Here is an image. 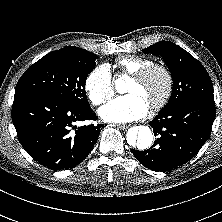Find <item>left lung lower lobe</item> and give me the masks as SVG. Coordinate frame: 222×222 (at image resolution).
<instances>
[{"instance_id": "left-lung-lower-lobe-1", "label": "left lung lower lobe", "mask_w": 222, "mask_h": 222, "mask_svg": "<svg viewBox=\"0 0 222 222\" xmlns=\"http://www.w3.org/2000/svg\"><path fill=\"white\" fill-rule=\"evenodd\" d=\"M216 116L214 101L190 100L160 111L149 124L157 137L146 151L132 150L145 167L167 172L187 163L209 139Z\"/></svg>"}]
</instances>
